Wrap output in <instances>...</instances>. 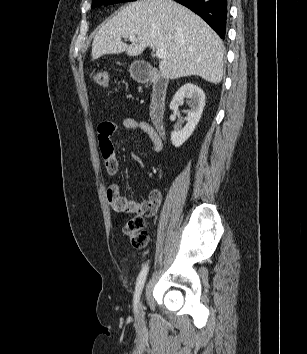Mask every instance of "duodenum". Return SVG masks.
Masks as SVG:
<instances>
[{
	"label": "duodenum",
	"instance_id": "1",
	"mask_svg": "<svg viewBox=\"0 0 307 354\" xmlns=\"http://www.w3.org/2000/svg\"><path fill=\"white\" fill-rule=\"evenodd\" d=\"M135 79L140 83L151 84L149 116L158 133L164 136L168 80L159 71L148 66L139 67L135 72Z\"/></svg>",
	"mask_w": 307,
	"mask_h": 354
}]
</instances>
